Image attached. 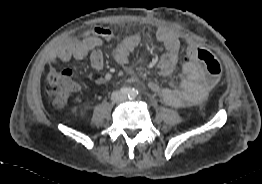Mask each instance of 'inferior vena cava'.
<instances>
[{"mask_svg":"<svg viewBox=\"0 0 262 184\" xmlns=\"http://www.w3.org/2000/svg\"><path fill=\"white\" fill-rule=\"evenodd\" d=\"M119 96H121L119 92H114V93L112 94V100H113V101L122 100V99H121L122 96L120 97V99L118 98Z\"/></svg>","mask_w":262,"mask_h":184,"instance_id":"obj_1","label":"inferior vena cava"}]
</instances>
